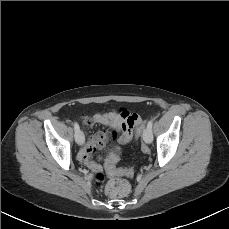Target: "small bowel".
Returning <instances> with one entry per match:
<instances>
[{
	"label": "small bowel",
	"instance_id": "small-bowel-1",
	"mask_svg": "<svg viewBox=\"0 0 229 229\" xmlns=\"http://www.w3.org/2000/svg\"><path fill=\"white\" fill-rule=\"evenodd\" d=\"M136 114L127 109L118 112L108 111L104 113H96L94 115H83L82 123L91 127L95 124H101L109 127L111 130L102 131L84 138L83 147L78 152V159L86 164L90 169H99V164L92 160V154L98 149L105 146L109 136L117 137V145L111 148L104 158L105 170L113 175L118 172L115 164L117 162V154L120 152L121 145L127 144L132 139V129L128 126L132 117ZM121 133L117 136V132Z\"/></svg>",
	"mask_w": 229,
	"mask_h": 229
}]
</instances>
